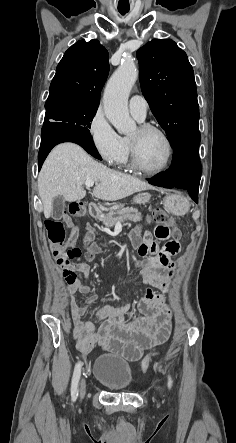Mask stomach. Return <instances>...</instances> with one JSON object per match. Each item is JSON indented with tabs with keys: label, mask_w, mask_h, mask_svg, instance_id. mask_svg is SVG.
I'll return each mask as SVG.
<instances>
[{
	"label": "stomach",
	"mask_w": 236,
	"mask_h": 443,
	"mask_svg": "<svg viewBox=\"0 0 236 443\" xmlns=\"http://www.w3.org/2000/svg\"><path fill=\"white\" fill-rule=\"evenodd\" d=\"M151 195L143 192L134 197L133 203L145 204L150 201ZM165 207L174 215H182L187 212L189 203L187 199L179 194H170L164 200Z\"/></svg>",
	"instance_id": "stomach-1"
}]
</instances>
